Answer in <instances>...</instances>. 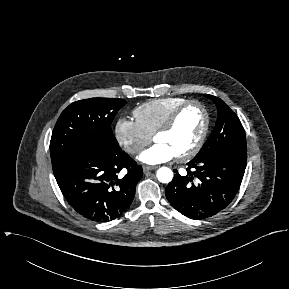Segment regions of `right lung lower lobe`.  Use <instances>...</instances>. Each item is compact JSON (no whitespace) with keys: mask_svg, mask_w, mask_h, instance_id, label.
<instances>
[{"mask_svg":"<svg viewBox=\"0 0 289 289\" xmlns=\"http://www.w3.org/2000/svg\"><path fill=\"white\" fill-rule=\"evenodd\" d=\"M122 168L128 172L120 179L117 174ZM54 175L63 196L76 212L93 221L107 222L130 206L143 170L122 150L90 148L69 160Z\"/></svg>","mask_w":289,"mask_h":289,"instance_id":"right-lung-lower-lobe-1","label":"right lung lower lobe"}]
</instances>
